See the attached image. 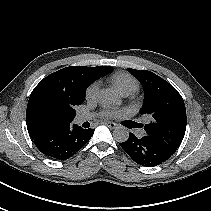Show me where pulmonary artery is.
Masks as SVG:
<instances>
[{
	"mask_svg": "<svg viewBox=\"0 0 211 211\" xmlns=\"http://www.w3.org/2000/svg\"><path fill=\"white\" fill-rule=\"evenodd\" d=\"M128 95H129L128 93L123 94V96H128ZM91 118H92L91 114H79L78 116H76L75 121L76 123H82ZM142 134H143L142 132L139 133L140 136H142Z\"/></svg>",
	"mask_w": 211,
	"mask_h": 211,
	"instance_id": "e3ab8cb5",
	"label": "pulmonary artery"
}]
</instances>
